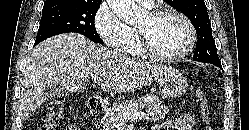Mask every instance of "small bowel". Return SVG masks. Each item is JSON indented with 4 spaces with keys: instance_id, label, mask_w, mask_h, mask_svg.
Here are the masks:
<instances>
[{
    "instance_id": "obj_1",
    "label": "small bowel",
    "mask_w": 249,
    "mask_h": 130,
    "mask_svg": "<svg viewBox=\"0 0 249 130\" xmlns=\"http://www.w3.org/2000/svg\"><path fill=\"white\" fill-rule=\"evenodd\" d=\"M194 116L189 113H184L177 116L175 119L167 121L162 125L163 128L172 130H196ZM69 130H80L74 125L69 126Z\"/></svg>"
}]
</instances>
